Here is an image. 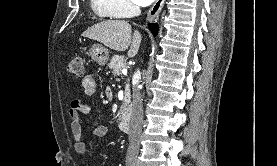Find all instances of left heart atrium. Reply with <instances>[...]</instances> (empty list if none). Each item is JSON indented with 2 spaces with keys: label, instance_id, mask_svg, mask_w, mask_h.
<instances>
[{
  "label": "left heart atrium",
  "instance_id": "left-heart-atrium-1",
  "mask_svg": "<svg viewBox=\"0 0 277 166\" xmlns=\"http://www.w3.org/2000/svg\"><path fill=\"white\" fill-rule=\"evenodd\" d=\"M139 6H147L152 3L154 0H133Z\"/></svg>",
  "mask_w": 277,
  "mask_h": 166
}]
</instances>
